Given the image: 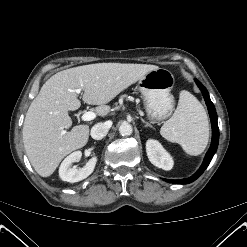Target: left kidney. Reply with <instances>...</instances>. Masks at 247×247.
Wrapping results in <instances>:
<instances>
[{
  "mask_svg": "<svg viewBox=\"0 0 247 247\" xmlns=\"http://www.w3.org/2000/svg\"><path fill=\"white\" fill-rule=\"evenodd\" d=\"M146 152L154 166L167 171L173 168L174 161L171 155L163 148L159 141L154 139L147 140Z\"/></svg>",
  "mask_w": 247,
  "mask_h": 247,
  "instance_id": "left-kidney-1",
  "label": "left kidney"
}]
</instances>
